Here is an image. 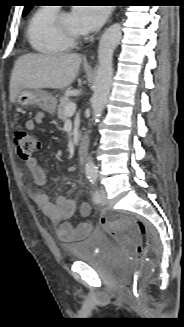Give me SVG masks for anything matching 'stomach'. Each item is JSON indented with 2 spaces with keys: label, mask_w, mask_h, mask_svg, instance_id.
<instances>
[{
  "label": "stomach",
  "mask_w": 184,
  "mask_h": 327,
  "mask_svg": "<svg viewBox=\"0 0 184 327\" xmlns=\"http://www.w3.org/2000/svg\"><path fill=\"white\" fill-rule=\"evenodd\" d=\"M21 107L38 106L43 111L54 114L56 110V98L42 89H22L16 99Z\"/></svg>",
  "instance_id": "0dacf381"
}]
</instances>
